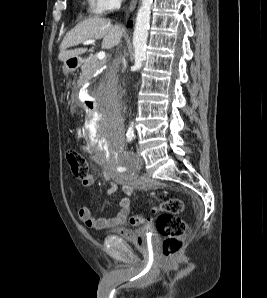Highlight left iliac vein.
Here are the masks:
<instances>
[{"label":"left iliac vein","instance_id":"obj_1","mask_svg":"<svg viewBox=\"0 0 267 298\" xmlns=\"http://www.w3.org/2000/svg\"><path fill=\"white\" fill-rule=\"evenodd\" d=\"M137 159H138V162H140L141 164H144V159L142 156L138 155Z\"/></svg>","mask_w":267,"mask_h":298}]
</instances>
